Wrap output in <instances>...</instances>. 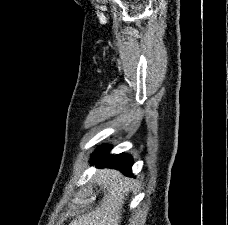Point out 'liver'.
<instances>
[{
  "instance_id": "1",
  "label": "liver",
  "mask_w": 228,
  "mask_h": 225,
  "mask_svg": "<svg viewBox=\"0 0 228 225\" xmlns=\"http://www.w3.org/2000/svg\"><path fill=\"white\" fill-rule=\"evenodd\" d=\"M127 177L114 169H98L96 183L103 185L104 197L93 211L71 221L70 225H118L121 223L122 207L128 197ZM111 193V195H109Z\"/></svg>"
}]
</instances>
